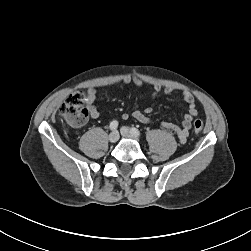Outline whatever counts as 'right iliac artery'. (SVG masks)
Wrapping results in <instances>:
<instances>
[{
    "label": "right iliac artery",
    "instance_id": "obj_1",
    "mask_svg": "<svg viewBox=\"0 0 251 251\" xmlns=\"http://www.w3.org/2000/svg\"><path fill=\"white\" fill-rule=\"evenodd\" d=\"M117 127H118V121H116V120L112 121V122L110 123V125H109V128H110L111 130H116Z\"/></svg>",
    "mask_w": 251,
    "mask_h": 251
}]
</instances>
